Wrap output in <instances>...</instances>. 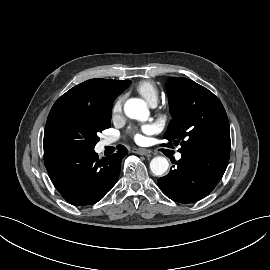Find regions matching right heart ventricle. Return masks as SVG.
Wrapping results in <instances>:
<instances>
[{"label": "right heart ventricle", "instance_id": "e07e8e85", "mask_svg": "<svg viewBox=\"0 0 270 270\" xmlns=\"http://www.w3.org/2000/svg\"><path fill=\"white\" fill-rule=\"evenodd\" d=\"M135 89L150 105L157 103L159 90L154 82L150 80L140 81Z\"/></svg>", "mask_w": 270, "mask_h": 270}]
</instances>
